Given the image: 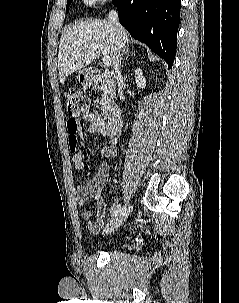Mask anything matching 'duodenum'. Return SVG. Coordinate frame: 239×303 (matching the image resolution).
I'll return each instance as SVG.
<instances>
[{"label": "duodenum", "mask_w": 239, "mask_h": 303, "mask_svg": "<svg viewBox=\"0 0 239 303\" xmlns=\"http://www.w3.org/2000/svg\"><path fill=\"white\" fill-rule=\"evenodd\" d=\"M89 79L98 87L111 88L117 78L113 72L92 71L89 74ZM123 127V119L121 112L117 108H112L107 114L106 128L110 136L117 137L121 134Z\"/></svg>", "instance_id": "1"}]
</instances>
